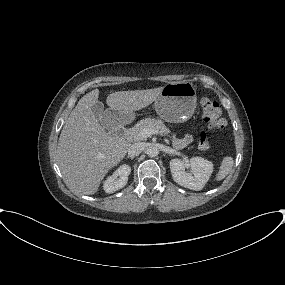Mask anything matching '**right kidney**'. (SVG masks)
<instances>
[{
	"mask_svg": "<svg viewBox=\"0 0 285 285\" xmlns=\"http://www.w3.org/2000/svg\"><path fill=\"white\" fill-rule=\"evenodd\" d=\"M131 173L129 165H121L103 184L106 193L111 194L127 184L128 176Z\"/></svg>",
	"mask_w": 285,
	"mask_h": 285,
	"instance_id": "1",
	"label": "right kidney"
}]
</instances>
